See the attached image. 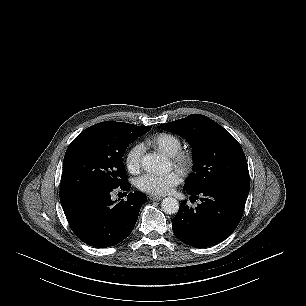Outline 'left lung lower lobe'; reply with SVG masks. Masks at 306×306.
Returning <instances> with one entry per match:
<instances>
[{
  "mask_svg": "<svg viewBox=\"0 0 306 306\" xmlns=\"http://www.w3.org/2000/svg\"><path fill=\"white\" fill-rule=\"evenodd\" d=\"M201 203L193 209L181 202L172 228L176 237L193 247L205 248L225 240L238 226L249 193V186L222 183L187 191Z\"/></svg>",
  "mask_w": 306,
  "mask_h": 306,
  "instance_id": "0a47b994",
  "label": "left lung lower lobe"
}]
</instances>
